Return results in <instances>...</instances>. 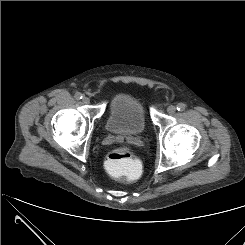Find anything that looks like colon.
Here are the masks:
<instances>
[{
    "mask_svg": "<svg viewBox=\"0 0 245 245\" xmlns=\"http://www.w3.org/2000/svg\"><path fill=\"white\" fill-rule=\"evenodd\" d=\"M105 165L113 173L127 174L130 180L137 179L140 170V164L134 153L126 147L110 150L106 156Z\"/></svg>",
    "mask_w": 245,
    "mask_h": 245,
    "instance_id": "1",
    "label": "colon"
}]
</instances>
